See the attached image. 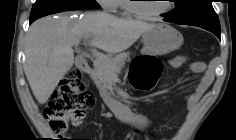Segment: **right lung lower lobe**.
Segmentation results:
<instances>
[{"label": "right lung lower lobe", "mask_w": 236, "mask_h": 140, "mask_svg": "<svg viewBox=\"0 0 236 140\" xmlns=\"http://www.w3.org/2000/svg\"><path fill=\"white\" fill-rule=\"evenodd\" d=\"M34 20H30V23H32Z\"/></svg>", "instance_id": "right-lung-lower-lobe-1"}]
</instances>
